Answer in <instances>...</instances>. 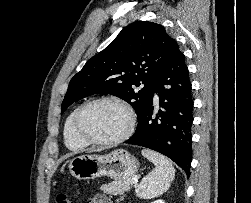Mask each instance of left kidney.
I'll list each match as a JSON object with an SVG mask.
<instances>
[{"mask_svg": "<svg viewBox=\"0 0 251 203\" xmlns=\"http://www.w3.org/2000/svg\"><path fill=\"white\" fill-rule=\"evenodd\" d=\"M151 203H165V202L163 200L159 199V200H155V201H153Z\"/></svg>", "mask_w": 251, "mask_h": 203, "instance_id": "obj_1", "label": "left kidney"}]
</instances>
